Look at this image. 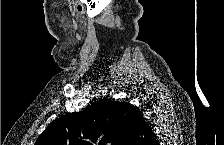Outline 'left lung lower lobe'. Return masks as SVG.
<instances>
[{"instance_id": "1", "label": "left lung lower lobe", "mask_w": 224, "mask_h": 145, "mask_svg": "<svg viewBox=\"0 0 224 145\" xmlns=\"http://www.w3.org/2000/svg\"><path fill=\"white\" fill-rule=\"evenodd\" d=\"M128 145H158L151 127L143 116L135 119L134 131Z\"/></svg>"}]
</instances>
